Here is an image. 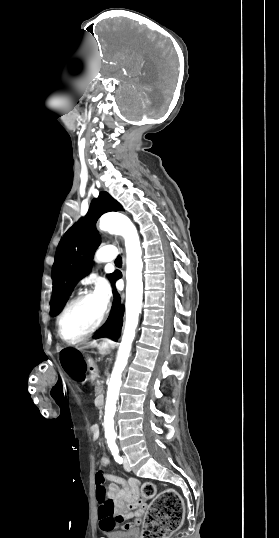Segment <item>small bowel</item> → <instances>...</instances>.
Listing matches in <instances>:
<instances>
[{
    "label": "small bowel",
    "instance_id": "small-bowel-1",
    "mask_svg": "<svg viewBox=\"0 0 279 538\" xmlns=\"http://www.w3.org/2000/svg\"><path fill=\"white\" fill-rule=\"evenodd\" d=\"M93 437L99 435L98 428L92 427ZM111 463L109 457H102L101 465ZM111 481L108 486V495L115 506V514L112 517H100V528L104 532H110L121 527L122 530H136L141 523V517L145 512L146 504L140 498V481L136 478L124 480L115 475H107ZM121 487H120V486Z\"/></svg>",
    "mask_w": 279,
    "mask_h": 538
}]
</instances>
